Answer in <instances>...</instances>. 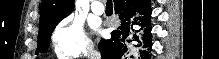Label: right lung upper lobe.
<instances>
[{"label": "right lung upper lobe", "instance_id": "obj_1", "mask_svg": "<svg viewBox=\"0 0 219 59\" xmlns=\"http://www.w3.org/2000/svg\"><path fill=\"white\" fill-rule=\"evenodd\" d=\"M74 10V0H42L39 28L61 21Z\"/></svg>", "mask_w": 219, "mask_h": 59}]
</instances>
